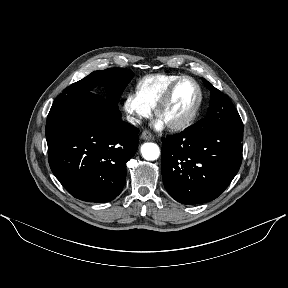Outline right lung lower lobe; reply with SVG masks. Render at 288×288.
Instances as JSON below:
<instances>
[{
    "mask_svg": "<svg viewBox=\"0 0 288 288\" xmlns=\"http://www.w3.org/2000/svg\"><path fill=\"white\" fill-rule=\"evenodd\" d=\"M138 133L104 98L90 92L71 98L47 117L50 168L75 198L112 201L124 187L126 163L138 148Z\"/></svg>",
    "mask_w": 288,
    "mask_h": 288,
    "instance_id": "1",
    "label": "right lung lower lobe"
}]
</instances>
